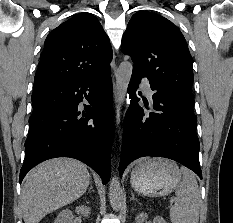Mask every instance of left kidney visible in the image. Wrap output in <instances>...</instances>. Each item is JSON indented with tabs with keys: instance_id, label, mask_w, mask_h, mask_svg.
Instances as JSON below:
<instances>
[{
	"instance_id": "obj_1",
	"label": "left kidney",
	"mask_w": 233,
	"mask_h": 223,
	"mask_svg": "<svg viewBox=\"0 0 233 223\" xmlns=\"http://www.w3.org/2000/svg\"><path fill=\"white\" fill-rule=\"evenodd\" d=\"M147 217V213H144V211H142V213L136 215L135 223H143V221H146ZM153 223H166V221L165 219H163V217H161V215H156V217H154L153 219Z\"/></svg>"
}]
</instances>
